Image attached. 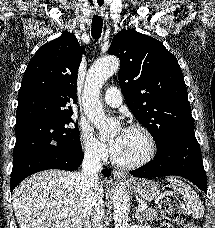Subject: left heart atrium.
I'll return each mask as SVG.
<instances>
[{"instance_id":"39dd6f15","label":"left heart atrium","mask_w":215,"mask_h":228,"mask_svg":"<svg viewBox=\"0 0 215 228\" xmlns=\"http://www.w3.org/2000/svg\"><path fill=\"white\" fill-rule=\"evenodd\" d=\"M125 134H126V130H122L111 140L110 150L113 154L118 152V150L123 145L125 140Z\"/></svg>"}]
</instances>
